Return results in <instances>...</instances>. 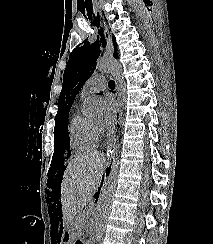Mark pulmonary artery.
Here are the masks:
<instances>
[{"instance_id":"obj_1","label":"pulmonary artery","mask_w":213,"mask_h":244,"mask_svg":"<svg viewBox=\"0 0 213 244\" xmlns=\"http://www.w3.org/2000/svg\"><path fill=\"white\" fill-rule=\"evenodd\" d=\"M105 88H106L105 77L101 74H96V75H93L91 78H89L85 82V84L83 85V87L81 89L80 96H81V98H83L87 95L101 92Z\"/></svg>"}]
</instances>
